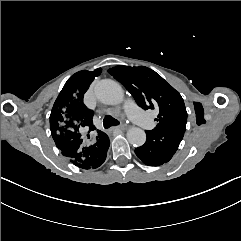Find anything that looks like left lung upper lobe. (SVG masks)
Returning a JSON list of instances; mask_svg holds the SVG:
<instances>
[{
    "mask_svg": "<svg viewBox=\"0 0 241 241\" xmlns=\"http://www.w3.org/2000/svg\"><path fill=\"white\" fill-rule=\"evenodd\" d=\"M108 72L125 86L141 108H159L155 129L186 124L187 112L183 98L155 71L145 66H116Z\"/></svg>",
    "mask_w": 241,
    "mask_h": 241,
    "instance_id": "1",
    "label": "left lung upper lobe"
}]
</instances>
